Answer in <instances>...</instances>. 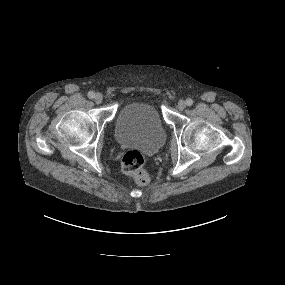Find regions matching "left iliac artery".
Masks as SVG:
<instances>
[{
	"label": "left iliac artery",
	"instance_id": "1",
	"mask_svg": "<svg viewBox=\"0 0 285 285\" xmlns=\"http://www.w3.org/2000/svg\"><path fill=\"white\" fill-rule=\"evenodd\" d=\"M186 105H187V106H192V105H193V100L190 99V98H188V99L186 100Z\"/></svg>",
	"mask_w": 285,
	"mask_h": 285
}]
</instances>
